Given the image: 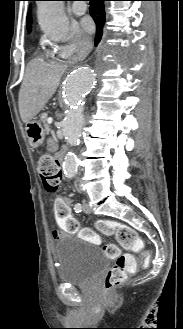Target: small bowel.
Instances as JSON below:
<instances>
[{
  "mask_svg": "<svg viewBox=\"0 0 183 329\" xmlns=\"http://www.w3.org/2000/svg\"><path fill=\"white\" fill-rule=\"evenodd\" d=\"M64 203H61V202ZM56 203L52 205V215L55 217L57 227H62V232H70L72 236H78L81 234L84 242L99 243L100 239L95 234V231L91 225H78L77 220H72L74 217L71 212V203L65 197H57ZM81 232V233H80ZM61 235V231H54L53 238L57 239Z\"/></svg>",
  "mask_w": 183,
  "mask_h": 329,
  "instance_id": "c3829d8e",
  "label": "small bowel"
}]
</instances>
